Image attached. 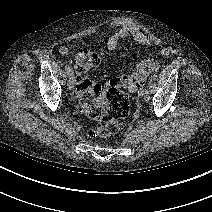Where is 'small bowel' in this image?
Returning <instances> with one entry per match:
<instances>
[{"instance_id": "obj_1", "label": "small bowel", "mask_w": 212, "mask_h": 212, "mask_svg": "<svg viewBox=\"0 0 212 212\" xmlns=\"http://www.w3.org/2000/svg\"><path fill=\"white\" fill-rule=\"evenodd\" d=\"M109 29L112 30V34L109 36L106 42V49L108 51H114L121 39L131 37L137 44L144 47H152L154 42L145 33H143L136 25L129 21L124 20H112L109 25ZM87 43L82 42L78 44L79 48H86ZM58 52L61 55H67L70 52V48L66 45H61L58 47ZM173 50L169 47H164L160 49V57H170L173 55ZM160 66V59L158 58H145L141 60L136 68L135 74L141 76H147L150 73L156 72ZM131 91H135L136 88H129ZM80 96V91L78 90Z\"/></svg>"}]
</instances>
